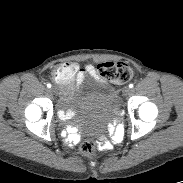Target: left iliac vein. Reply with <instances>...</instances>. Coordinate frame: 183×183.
Segmentation results:
<instances>
[{"instance_id": "obj_1", "label": "left iliac vein", "mask_w": 183, "mask_h": 183, "mask_svg": "<svg viewBox=\"0 0 183 183\" xmlns=\"http://www.w3.org/2000/svg\"><path fill=\"white\" fill-rule=\"evenodd\" d=\"M122 92L126 96V95H129L130 94L131 89L129 87H124L123 90H122Z\"/></svg>"}]
</instances>
